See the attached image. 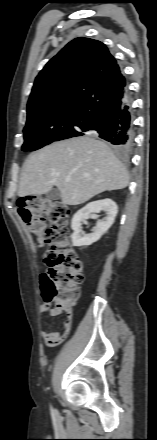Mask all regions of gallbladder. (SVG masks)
Listing matches in <instances>:
<instances>
[{
	"instance_id": "obj_1",
	"label": "gallbladder",
	"mask_w": 157,
	"mask_h": 440,
	"mask_svg": "<svg viewBox=\"0 0 157 440\" xmlns=\"http://www.w3.org/2000/svg\"><path fill=\"white\" fill-rule=\"evenodd\" d=\"M46 198L49 200H59L61 198L60 191L57 188H53L48 193H46Z\"/></svg>"
}]
</instances>
